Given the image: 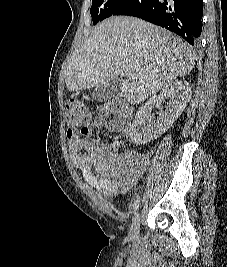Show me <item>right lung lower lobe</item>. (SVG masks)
<instances>
[{"mask_svg": "<svg viewBox=\"0 0 227 267\" xmlns=\"http://www.w3.org/2000/svg\"><path fill=\"white\" fill-rule=\"evenodd\" d=\"M203 0H129L113 15L135 16L164 27L194 45L202 31Z\"/></svg>", "mask_w": 227, "mask_h": 267, "instance_id": "98d812e1", "label": "right lung lower lobe"}]
</instances>
